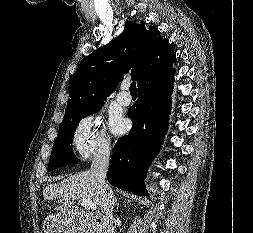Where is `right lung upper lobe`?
<instances>
[{
  "label": "right lung upper lobe",
  "instance_id": "cb5924a9",
  "mask_svg": "<svg viewBox=\"0 0 253 233\" xmlns=\"http://www.w3.org/2000/svg\"><path fill=\"white\" fill-rule=\"evenodd\" d=\"M176 56L167 39L144 21L128 22L109 44L86 56L69 82L70 100L64 119L104 103L124 74L131 72L140 88L156 75L172 69Z\"/></svg>",
  "mask_w": 253,
  "mask_h": 233
}]
</instances>
